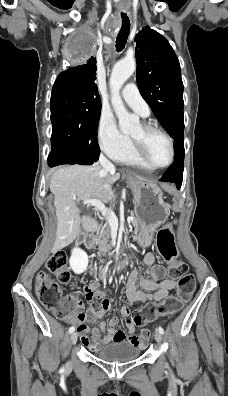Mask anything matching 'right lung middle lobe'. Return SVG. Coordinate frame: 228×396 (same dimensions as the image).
I'll return each instance as SVG.
<instances>
[{"label": "right lung middle lobe", "mask_w": 228, "mask_h": 396, "mask_svg": "<svg viewBox=\"0 0 228 396\" xmlns=\"http://www.w3.org/2000/svg\"><path fill=\"white\" fill-rule=\"evenodd\" d=\"M91 52L92 43L81 38L76 57L85 59ZM50 107L53 126L50 154L82 165L97 161L101 100L82 96L68 87L53 86Z\"/></svg>", "instance_id": "dd1d6c3e"}]
</instances>
